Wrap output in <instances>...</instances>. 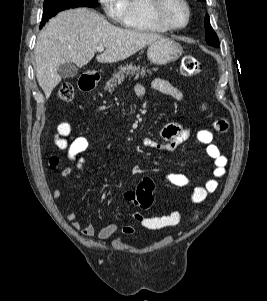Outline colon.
I'll use <instances>...</instances> for the list:
<instances>
[{
    "mask_svg": "<svg viewBox=\"0 0 267 301\" xmlns=\"http://www.w3.org/2000/svg\"><path fill=\"white\" fill-rule=\"evenodd\" d=\"M202 69V65L200 61L193 55H185L181 59V66L180 71L181 74L185 77H193L200 73ZM58 97L62 101H71L74 97V88L69 83H64L60 86L58 90ZM214 128L224 133L228 129V122L225 119L218 118L214 120ZM58 158L52 157L50 159L51 167H56L58 164ZM154 191V182L149 177L143 178L137 186L135 191V200L136 203L142 208L147 209L149 208L153 201Z\"/></svg>",
    "mask_w": 267,
    "mask_h": 301,
    "instance_id": "1",
    "label": "colon"
}]
</instances>
